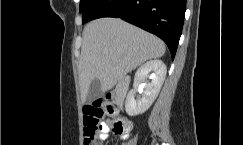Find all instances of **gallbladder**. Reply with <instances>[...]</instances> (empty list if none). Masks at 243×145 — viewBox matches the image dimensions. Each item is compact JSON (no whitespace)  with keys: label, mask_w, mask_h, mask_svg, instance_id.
I'll return each instance as SVG.
<instances>
[{"label":"gallbladder","mask_w":243,"mask_h":145,"mask_svg":"<svg viewBox=\"0 0 243 145\" xmlns=\"http://www.w3.org/2000/svg\"><path fill=\"white\" fill-rule=\"evenodd\" d=\"M102 95H103V91L101 89V82L98 79L92 80L89 87L88 96L86 98V103H90L92 100Z\"/></svg>","instance_id":"bac80fb5"}]
</instances>
